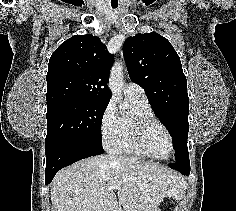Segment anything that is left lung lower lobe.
I'll list each match as a JSON object with an SVG mask.
<instances>
[{"label": "left lung lower lobe", "instance_id": "1", "mask_svg": "<svg viewBox=\"0 0 236 211\" xmlns=\"http://www.w3.org/2000/svg\"><path fill=\"white\" fill-rule=\"evenodd\" d=\"M169 167L179 171L181 174L188 176L190 174V162H176L168 165Z\"/></svg>", "mask_w": 236, "mask_h": 211}]
</instances>
